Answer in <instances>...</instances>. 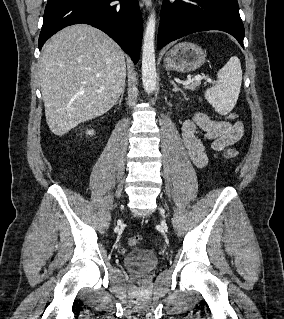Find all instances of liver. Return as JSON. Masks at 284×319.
I'll return each instance as SVG.
<instances>
[{"instance_id": "1", "label": "liver", "mask_w": 284, "mask_h": 319, "mask_svg": "<svg viewBox=\"0 0 284 319\" xmlns=\"http://www.w3.org/2000/svg\"><path fill=\"white\" fill-rule=\"evenodd\" d=\"M39 76L47 124L62 136L116 104L125 86V54L102 31L72 25L44 45Z\"/></svg>"}]
</instances>
